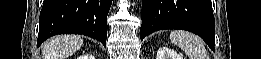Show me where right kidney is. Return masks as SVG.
<instances>
[{"instance_id": "obj_1", "label": "right kidney", "mask_w": 261, "mask_h": 59, "mask_svg": "<svg viewBox=\"0 0 261 59\" xmlns=\"http://www.w3.org/2000/svg\"><path fill=\"white\" fill-rule=\"evenodd\" d=\"M79 59H95V58L92 55L86 54V55L80 56Z\"/></svg>"}]
</instances>
